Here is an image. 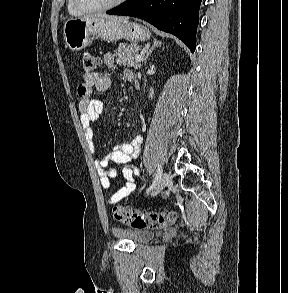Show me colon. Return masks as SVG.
Here are the masks:
<instances>
[{
	"mask_svg": "<svg viewBox=\"0 0 288 293\" xmlns=\"http://www.w3.org/2000/svg\"><path fill=\"white\" fill-rule=\"evenodd\" d=\"M83 71L85 74H92L99 66L98 58L89 52L82 55ZM113 216L117 221L135 228H163L173 222L176 218L174 212L156 213L141 212L126 206H115Z\"/></svg>",
	"mask_w": 288,
	"mask_h": 293,
	"instance_id": "colon-1",
	"label": "colon"
}]
</instances>
